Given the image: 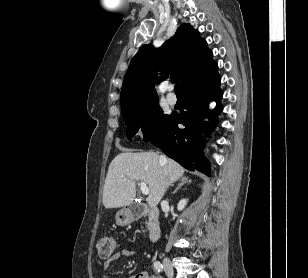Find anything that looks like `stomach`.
Returning a JSON list of instances; mask_svg holds the SVG:
<instances>
[{
  "instance_id": "0dacf381",
  "label": "stomach",
  "mask_w": 308,
  "mask_h": 278,
  "mask_svg": "<svg viewBox=\"0 0 308 278\" xmlns=\"http://www.w3.org/2000/svg\"><path fill=\"white\" fill-rule=\"evenodd\" d=\"M130 215L126 210H121L116 214V223L119 225H125L129 222Z\"/></svg>"
}]
</instances>
